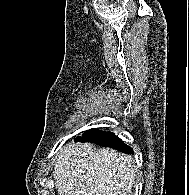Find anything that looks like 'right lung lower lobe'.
<instances>
[{
    "mask_svg": "<svg viewBox=\"0 0 189 195\" xmlns=\"http://www.w3.org/2000/svg\"><path fill=\"white\" fill-rule=\"evenodd\" d=\"M75 142H91L103 147H111L126 154H133V150L124 144L120 138L111 132L89 129L74 140Z\"/></svg>",
    "mask_w": 189,
    "mask_h": 195,
    "instance_id": "obj_1",
    "label": "right lung lower lobe"
}]
</instances>
